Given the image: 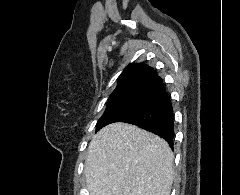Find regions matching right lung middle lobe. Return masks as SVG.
<instances>
[{
	"mask_svg": "<svg viewBox=\"0 0 240 195\" xmlns=\"http://www.w3.org/2000/svg\"><path fill=\"white\" fill-rule=\"evenodd\" d=\"M147 94L131 93L111 95L106 110L97 122L96 131L117 122L142 104Z\"/></svg>",
	"mask_w": 240,
	"mask_h": 195,
	"instance_id": "dd1d6c3e",
	"label": "right lung middle lobe"
}]
</instances>
